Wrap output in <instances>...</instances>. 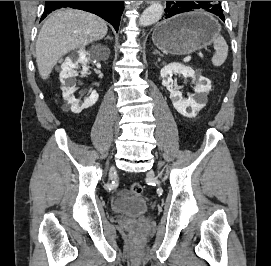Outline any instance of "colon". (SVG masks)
Instances as JSON below:
<instances>
[{
  "mask_svg": "<svg viewBox=\"0 0 271 266\" xmlns=\"http://www.w3.org/2000/svg\"><path fill=\"white\" fill-rule=\"evenodd\" d=\"M130 190L133 194L140 196L143 193V186L140 183L135 182L131 185ZM136 237L139 238V236Z\"/></svg>",
  "mask_w": 271,
  "mask_h": 266,
  "instance_id": "1",
  "label": "colon"
}]
</instances>
